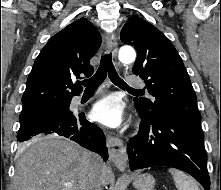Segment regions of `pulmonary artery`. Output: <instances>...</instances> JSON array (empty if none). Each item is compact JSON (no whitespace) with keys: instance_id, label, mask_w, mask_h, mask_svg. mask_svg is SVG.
<instances>
[{"instance_id":"obj_1","label":"pulmonary artery","mask_w":221,"mask_h":190,"mask_svg":"<svg viewBox=\"0 0 221 190\" xmlns=\"http://www.w3.org/2000/svg\"><path fill=\"white\" fill-rule=\"evenodd\" d=\"M125 83L132 88H142L144 86L143 80L135 75H129L126 77ZM78 98V97H77Z\"/></svg>"}]
</instances>
